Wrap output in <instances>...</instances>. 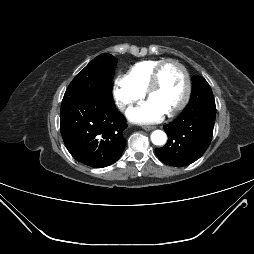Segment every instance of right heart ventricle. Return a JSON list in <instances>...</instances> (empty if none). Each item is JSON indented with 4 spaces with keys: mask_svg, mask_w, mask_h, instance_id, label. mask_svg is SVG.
Wrapping results in <instances>:
<instances>
[{
    "mask_svg": "<svg viewBox=\"0 0 254 254\" xmlns=\"http://www.w3.org/2000/svg\"><path fill=\"white\" fill-rule=\"evenodd\" d=\"M162 61L163 59L137 62L129 68L127 76L138 89L145 92L149 86L155 68Z\"/></svg>",
    "mask_w": 254,
    "mask_h": 254,
    "instance_id": "1",
    "label": "right heart ventricle"
}]
</instances>
